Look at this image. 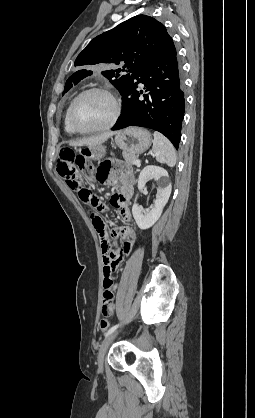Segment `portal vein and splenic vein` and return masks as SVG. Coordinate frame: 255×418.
<instances>
[{
    "label": "portal vein and splenic vein",
    "mask_w": 255,
    "mask_h": 418,
    "mask_svg": "<svg viewBox=\"0 0 255 418\" xmlns=\"http://www.w3.org/2000/svg\"><path fill=\"white\" fill-rule=\"evenodd\" d=\"M133 164H134V165H139V164H140V160H139V159L135 160V161L133 162Z\"/></svg>",
    "instance_id": "18ae733b"
}]
</instances>
